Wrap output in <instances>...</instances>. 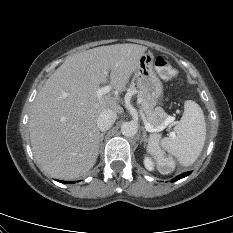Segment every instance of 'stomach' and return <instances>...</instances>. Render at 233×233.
Returning a JSON list of instances; mask_svg holds the SVG:
<instances>
[{
    "instance_id": "obj_1",
    "label": "stomach",
    "mask_w": 233,
    "mask_h": 233,
    "mask_svg": "<svg viewBox=\"0 0 233 233\" xmlns=\"http://www.w3.org/2000/svg\"><path fill=\"white\" fill-rule=\"evenodd\" d=\"M154 57L151 52L144 53L135 71V81L144 99L154 106L163 94V84L153 68Z\"/></svg>"
}]
</instances>
